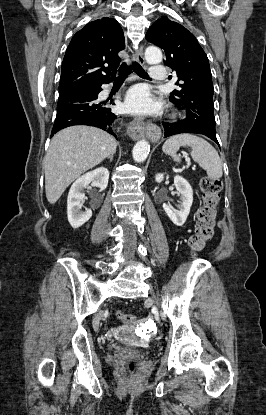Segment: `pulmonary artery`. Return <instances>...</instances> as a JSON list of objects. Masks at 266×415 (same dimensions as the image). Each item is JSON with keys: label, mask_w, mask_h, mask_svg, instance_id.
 Here are the masks:
<instances>
[{"label": "pulmonary artery", "mask_w": 266, "mask_h": 415, "mask_svg": "<svg viewBox=\"0 0 266 415\" xmlns=\"http://www.w3.org/2000/svg\"><path fill=\"white\" fill-rule=\"evenodd\" d=\"M150 77L156 81H162L166 78V69L163 65H153L150 69Z\"/></svg>", "instance_id": "e3ab8cb5"}]
</instances>
